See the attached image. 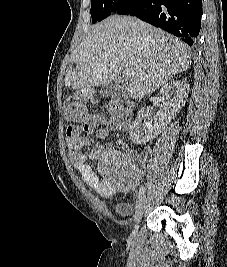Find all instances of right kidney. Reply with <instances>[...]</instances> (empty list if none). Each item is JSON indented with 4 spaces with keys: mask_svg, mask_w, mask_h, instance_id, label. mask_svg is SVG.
Masks as SVG:
<instances>
[{
    "mask_svg": "<svg viewBox=\"0 0 227 267\" xmlns=\"http://www.w3.org/2000/svg\"><path fill=\"white\" fill-rule=\"evenodd\" d=\"M189 91L190 85L185 80L166 83L160 90L162 110L153 119L146 121V116H149L148 109L141 108L129 128L131 141L135 144H144L157 137L184 106Z\"/></svg>",
    "mask_w": 227,
    "mask_h": 267,
    "instance_id": "1",
    "label": "right kidney"
}]
</instances>
